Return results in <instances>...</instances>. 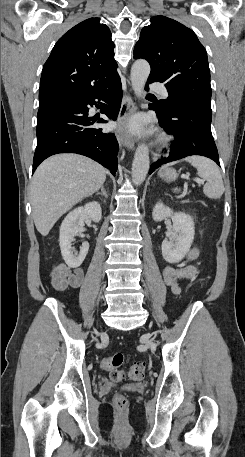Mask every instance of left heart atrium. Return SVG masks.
Returning <instances> with one entry per match:
<instances>
[{
	"instance_id": "39dd6f15",
	"label": "left heart atrium",
	"mask_w": 245,
	"mask_h": 457,
	"mask_svg": "<svg viewBox=\"0 0 245 457\" xmlns=\"http://www.w3.org/2000/svg\"><path fill=\"white\" fill-rule=\"evenodd\" d=\"M141 125V121L139 119H133L129 122L128 126L132 129H135Z\"/></svg>"
}]
</instances>
